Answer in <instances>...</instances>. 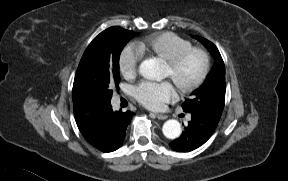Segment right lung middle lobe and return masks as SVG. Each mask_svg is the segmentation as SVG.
<instances>
[{
    "instance_id": "dd1d6c3e",
    "label": "right lung middle lobe",
    "mask_w": 288,
    "mask_h": 181,
    "mask_svg": "<svg viewBox=\"0 0 288 181\" xmlns=\"http://www.w3.org/2000/svg\"><path fill=\"white\" fill-rule=\"evenodd\" d=\"M137 33L120 27L101 32L89 44L79 63L74 82L99 100L110 103L112 87H118L119 56Z\"/></svg>"
}]
</instances>
